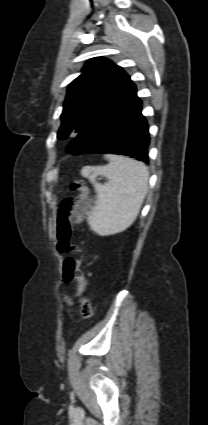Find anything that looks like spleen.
I'll return each instance as SVG.
<instances>
[{
    "instance_id": "spleen-1",
    "label": "spleen",
    "mask_w": 208,
    "mask_h": 425,
    "mask_svg": "<svg viewBox=\"0 0 208 425\" xmlns=\"http://www.w3.org/2000/svg\"><path fill=\"white\" fill-rule=\"evenodd\" d=\"M109 163L84 166L81 175L94 186L96 201L88 213L90 228L101 236L126 230L136 220L148 190L149 171L144 163L134 159L106 154ZM98 176L107 178L105 184Z\"/></svg>"
}]
</instances>
